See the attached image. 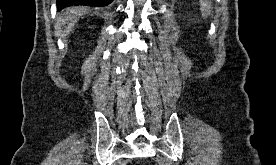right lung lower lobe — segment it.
Here are the masks:
<instances>
[{
    "instance_id": "98d812e1",
    "label": "right lung lower lobe",
    "mask_w": 276,
    "mask_h": 165,
    "mask_svg": "<svg viewBox=\"0 0 276 165\" xmlns=\"http://www.w3.org/2000/svg\"><path fill=\"white\" fill-rule=\"evenodd\" d=\"M113 0H57V8L61 10L72 5H86L93 7H102L110 4Z\"/></svg>"
}]
</instances>
